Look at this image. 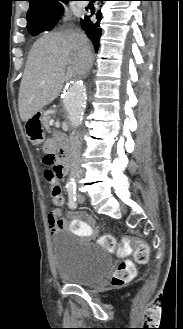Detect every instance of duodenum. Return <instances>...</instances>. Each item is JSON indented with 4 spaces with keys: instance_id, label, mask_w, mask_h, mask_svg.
I'll return each instance as SVG.
<instances>
[{
    "instance_id": "obj_1",
    "label": "duodenum",
    "mask_w": 183,
    "mask_h": 329,
    "mask_svg": "<svg viewBox=\"0 0 183 329\" xmlns=\"http://www.w3.org/2000/svg\"><path fill=\"white\" fill-rule=\"evenodd\" d=\"M59 157L62 168L66 169L71 159V151L67 145H62L59 148Z\"/></svg>"
}]
</instances>
